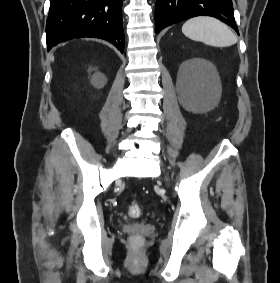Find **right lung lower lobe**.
Wrapping results in <instances>:
<instances>
[{
    "label": "right lung lower lobe",
    "instance_id": "98d812e1",
    "mask_svg": "<svg viewBox=\"0 0 280 283\" xmlns=\"http://www.w3.org/2000/svg\"><path fill=\"white\" fill-rule=\"evenodd\" d=\"M122 4L123 0H50L48 50L70 39L91 37L107 40L123 53Z\"/></svg>",
    "mask_w": 280,
    "mask_h": 283
}]
</instances>
